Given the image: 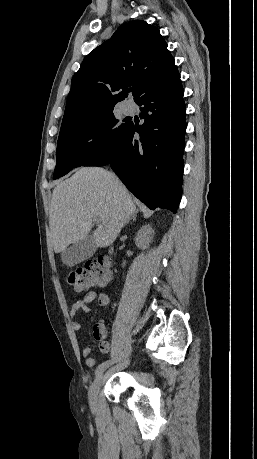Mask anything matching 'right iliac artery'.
Wrapping results in <instances>:
<instances>
[{
    "label": "right iliac artery",
    "mask_w": 257,
    "mask_h": 459,
    "mask_svg": "<svg viewBox=\"0 0 257 459\" xmlns=\"http://www.w3.org/2000/svg\"><path fill=\"white\" fill-rule=\"evenodd\" d=\"M115 361H116V359H111V360H107V361L101 363L95 370L96 377L99 376L100 374H102L103 371Z\"/></svg>",
    "instance_id": "82829eb1"
}]
</instances>
